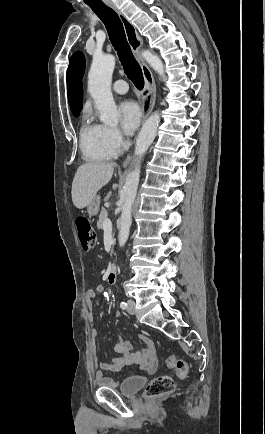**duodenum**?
Here are the masks:
<instances>
[{
	"instance_id": "duodenum-1",
	"label": "duodenum",
	"mask_w": 265,
	"mask_h": 434,
	"mask_svg": "<svg viewBox=\"0 0 265 434\" xmlns=\"http://www.w3.org/2000/svg\"><path fill=\"white\" fill-rule=\"evenodd\" d=\"M117 271H118L117 264H110L108 266L106 280H107V282L109 284H114L116 282V280H117Z\"/></svg>"
}]
</instances>
